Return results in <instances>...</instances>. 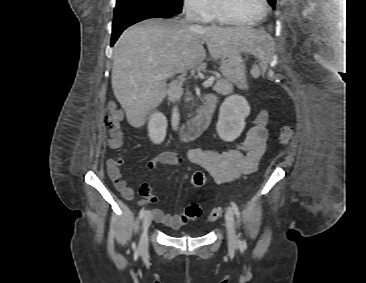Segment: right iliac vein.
I'll list each match as a JSON object with an SVG mask.
<instances>
[{"label":"right iliac vein","instance_id":"1","mask_svg":"<svg viewBox=\"0 0 366 283\" xmlns=\"http://www.w3.org/2000/svg\"><path fill=\"white\" fill-rule=\"evenodd\" d=\"M152 221V214L150 211L146 212L144 219H143V231H142V235L139 241V251L140 253H144L146 252V250L148 249V228L151 224Z\"/></svg>","mask_w":366,"mask_h":283}]
</instances>
